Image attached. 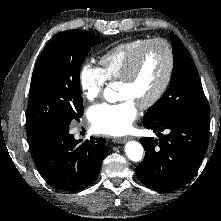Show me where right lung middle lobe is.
I'll return each mask as SVG.
<instances>
[{
	"instance_id": "1",
	"label": "right lung middle lobe",
	"mask_w": 221,
	"mask_h": 221,
	"mask_svg": "<svg viewBox=\"0 0 221 221\" xmlns=\"http://www.w3.org/2000/svg\"><path fill=\"white\" fill-rule=\"evenodd\" d=\"M101 42L91 32L69 30L58 33L45 46L30 84L26 112L30 147L51 129L82 116L80 67L90 48Z\"/></svg>"
}]
</instances>
